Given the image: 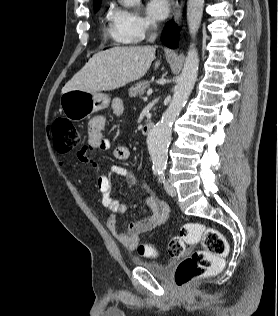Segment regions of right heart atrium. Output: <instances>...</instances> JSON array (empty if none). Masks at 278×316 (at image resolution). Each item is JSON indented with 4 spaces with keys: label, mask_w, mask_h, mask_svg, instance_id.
I'll list each match as a JSON object with an SVG mask.
<instances>
[{
    "label": "right heart atrium",
    "mask_w": 278,
    "mask_h": 316,
    "mask_svg": "<svg viewBox=\"0 0 278 316\" xmlns=\"http://www.w3.org/2000/svg\"><path fill=\"white\" fill-rule=\"evenodd\" d=\"M111 19L117 38L124 43L142 41L155 27L150 19L118 5L112 8Z\"/></svg>",
    "instance_id": "d8ad5b80"
}]
</instances>
